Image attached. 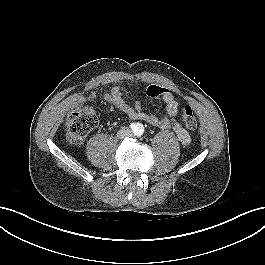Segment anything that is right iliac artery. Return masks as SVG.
<instances>
[{"label":"right iliac artery","instance_id":"obj_1","mask_svg":"<svg viewBox=\"0 0 265 265\" xmlns=\"http://www.w3.org/2000/svg\"><path fill=\"white\" fill-rule=\"evenodd\" d=\"M130 127H131V129L133 130V131H136L137 129H138V124H135V123H132L131 125H130Z\"/></svg>","mask_w":265,"mask_h":265}]
</instances>
